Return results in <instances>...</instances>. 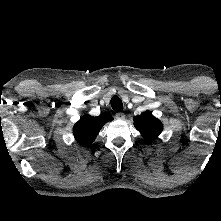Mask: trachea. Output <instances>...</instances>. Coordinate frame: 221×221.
I'll list each match as a JSON object with an SVG mask.
<instances>
[{"mask_svg":"<svg viewBox=\"0 0 221 221\" xmlns=\"http://www.w3.org/2000/svg\"><path fill=\"white\" fill-rule=\"evenodd\" d=\"M111 106L113 110L117 112H121L123 110V103L121 99L116 95L111 98Z\"/></svg>","mask_w":221,"mask_h":221,"instance_id":"trachea-1","label":"trachea"}]
</instances>
